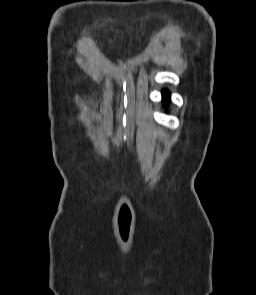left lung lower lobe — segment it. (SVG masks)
Wrapping results in <instances>:
<instances>
[{
  "instance_id": "1",
  "label": "left lung lower lobe",
  "mask_w": 256,
  "mask_h": 295,
  "mask_svg": "<svg viewBox=\"0 0 256 295\" xmlns=\"http://www.w3.org/2000/svg\"><path fill=\"white\" fill-rule=\"evenodd\" d=\"M170 100V93L168 91H163V102L167 104Z\"/></svg>"
}]
</instances>
